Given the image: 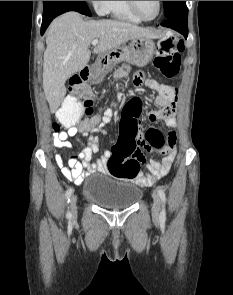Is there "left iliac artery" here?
<instances>
[{
  "label": "left iliac artery",
  "instance_id": "44dca946",
  "mask_svg": "<svg viewBox=\"0 0 233 295\" xmlns=\"http://www.w3.org/2000/svg\"><path fill=\"white\" fill-rule=\"evenodd\" d=\"M157 192H158V195L162 201V210L160 212V220L165 221V219H166V211H165L166 195L164 193V190H162L161 188H158Z\"/></svg>",
  "mask_w": 233,
  "mask_h": 295
}]
</instances>
